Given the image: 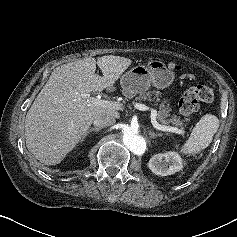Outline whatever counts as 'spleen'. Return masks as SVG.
Wrapping results in <instances>:
<instances>
[{"mask_svg":"<svg viewBox=\"0 0 237 237\" xmlns=\"http://www.w3.org/2000/svg\"><path fill=\"white\" fill-rule=\"evenodd\" d=\"M219 128V120L215 115L206 114L193 128L190 137L181 147L184 154H197L207 148Z\"/></svg>","mask_w":237,"mask_h":237,"instance_id":"3e777b00","label":"spleen"}]
</instances>
